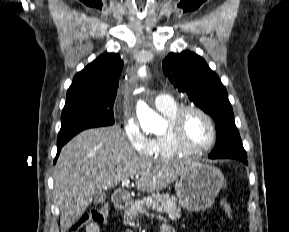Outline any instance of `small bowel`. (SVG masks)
Masks as SVG:
<instances>
[{"label":"small bowel","instance_id":"1","mask_svg":"<svg viewBox=\"0 0 289 232\" xmlns=\"http://www.w3.org/2000/svg\"><path fill=\"white\" fill-rule=\"evenodd\" d=\"M86 232H101V228L97 224H89L86 226ZM159 232H175V230L167 225V224H162L159 228Z\"/></svg>","mask_w":289,"mask_h":232}]
</instances>
